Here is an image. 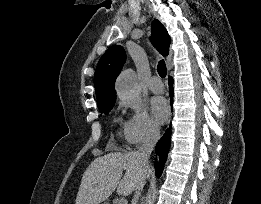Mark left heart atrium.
<instances>
[{
    "mask_svg": "<svg viewBox=\"0 0 261 204\" xmlns=\"http://www.w3.org/2000/svg\"><path fill=\"white\" fill-rule=\"evenodd\" d=\"M151 110L155 119L164 123L170 116V108L167 101L162 97H154L151 99Z\"/></svg>",
    "mask_w": 261,
    "mask_h": 204,
    "instance_id": "39dd6f15",
    "label": "left heart atrium"
}]
</instances>
